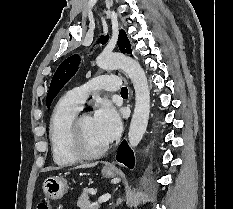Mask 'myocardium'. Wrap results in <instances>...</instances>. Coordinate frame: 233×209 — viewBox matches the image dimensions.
I'll list each match as a JSON object with an SVG mask.
<instances>
[{
	"instance_id": "obj_1",
	"label": "myocardium",
	"mask_w": 233,
	"mask_h": 209,
	"mask_svg": "<svg viewBox=\"0 0 233 209\" xmlns=\"http://www.w3.org/2000/svg\"><path fill=\"white\" fill-rule=\"evenodd\" d=\"M88 116L87 114L77 115L71 122L68 129V145L70 151L79 159H97L103 156L109 146L105 144L102 148L96 151L88 150L83 142L81 137V122L84 117Z\"/></svg>"
}]
</instances>
